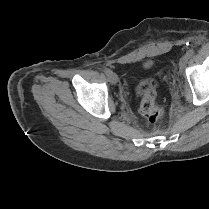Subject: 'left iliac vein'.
<instances>
[{"label": "left iliac vein", "mask_w": 209, "mask_h": 209, "mask_svg": "<svg viewBox=\"0 0 209 209\" xmlns=\"http://www.w3.org/2000/svg\"><path fill=\"white\" fill-rule=\"evenodd\" d=\"M188 59H189V57H188L187 55H184V56L180 59V61H179V67H180L181 69H183V68L186 66V64H187V62H188Z\"/></svg>", "instance_id": "1"}]
</instances>
